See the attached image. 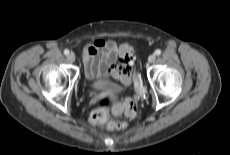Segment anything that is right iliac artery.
<instances>
[{
	"label": "right iliac artery",
	"instance_id": "right-iliac-artery-1",
	"mask_svg": "<svg viewBox=\"0 0 230 155\" xmlns=\"http://www.w3.org/2000/svg\"><path fill=\"white\" fill-rule=\"evenodd\" d=\"M64 54H65V55H68V54H69V50H68V49H65V50H64Z\"/></svg>",
	"mask_w": 230,
	"mask_h": 155
}]
</instances>
